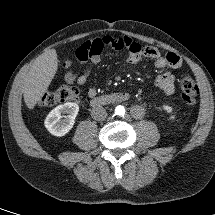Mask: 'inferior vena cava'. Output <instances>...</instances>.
Masks as SVG:
<instances>
[{"label":"inferior vena cava","instance_id":"1","mask_svg":"<svg viewBox=\"0 0 215 215\" xmlns=\"http://www.w3.org/2000/svg\"><path fill=\"white\" fill-rule=\"evenodd\" d=\"M91 116L94 120L103 121L107 117V112H106L105 108H103L102 106H97V107L92 108Z\"/></svg>","mask_w":215,"mask_h":215}]
</instances>
